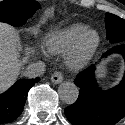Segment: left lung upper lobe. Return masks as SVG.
I'll return each instance as SVG.
<instances>
[{
    "label": "left lung upper lobe",
    "mask_w": 125,
    "mask_h": 125,
    "mask_svg": "<svg viewBox=\"0 0 125 125\" xmlns=\"http://www.w3.org/2000/svg\"><path fill=\"white\" fill-rule=\"evenodd\" d=\"M105 25H106V38L111 43L125 42V20L124 19L116 15L106 13Z\"/></svg>",
    "instance_id": "obj_1"
}]
</instances>
